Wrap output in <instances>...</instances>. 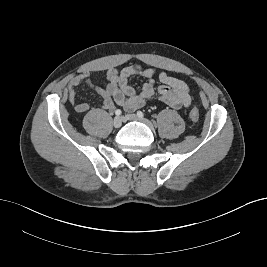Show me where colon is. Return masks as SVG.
I'll use <instances>...</instances> for the list:
<instances>
[{"label":"colon","mask_w":267,"mask_h":267,"mask_svg":"<svg viewBox=\"0 0 267 267\" xmlns=\"http://www.w3.org/2000/svg\"><path fill=\"white\" fill-rule=\"evenodd\" d=\"M189 116L193 122H197L200 118L199 111L197 110V108L193 107L189 112Z\"/></svg>","instance_id":"5ec220e1"}]
</instances>
